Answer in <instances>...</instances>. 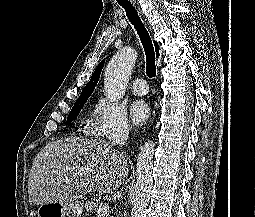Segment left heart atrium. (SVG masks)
<instances>
[{
    "instance_id": "1",
    "label": "left heart atrium",
    "mask_w": 255,
    "mask_h": 217,
    "mask_svg": "<svg viewBox=\"0 0 255 217\" xmlns=\"http://www.w3.org/2000/svg\"><path fill=\"white\" fill-rule=\"evenodd\" d=\"M130 116L134 124H143L149 116L148 105L142 100L134 101L130 106Z\"/></svg>"
}]
</instances>
